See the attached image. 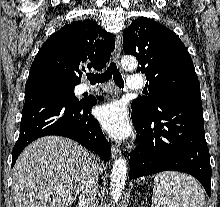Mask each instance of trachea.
Here are the masks:
<instances>
[{"instance_id": "obj_1", "label": "trachea", "mask_w": 220, "mask_h": 207, "mask_svg": "<svg viewBox=\"0 0 220 207\" xmlns=\"http://www.w3.org/2000/svg\"><path fill=\"white\" fill-rule=\"evenodd\" d=\"M87 78L90 83H104L109 79L113 78L115 84L119 88H124V81L122 79V75L117 69V66L114 62H111L107 71L103 74H87Z\"/></svg>"}]
</instances>
